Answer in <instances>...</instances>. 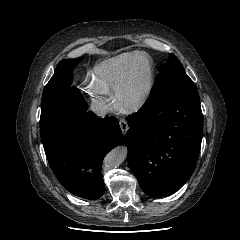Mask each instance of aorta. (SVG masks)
<instances>
[{
    "label": "aorta",
    "mask_w": 240,
    "mask_h": 240,
    "mask_svg": "<svg viewBox=\"0 0 240 240\" xmlns=\"http://www.w3.org/2000/svg\"><path fill=\"white\" fill-rule=\"evenodd\" d=\"M127 157V148L118 146L111 150L106 156V163L110 166H119Z\"/></svg>",
    "instance_id": "obj_1"
}]
</instances>
